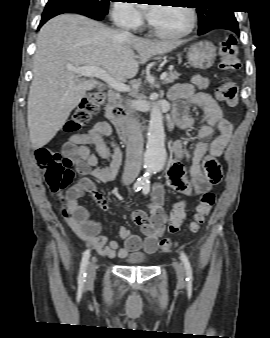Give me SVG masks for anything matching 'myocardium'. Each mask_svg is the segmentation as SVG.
Returning a JSON list of instances; mask_svg holds the SVG:
<instances>
[{"instance_id":"obj_1","label":"myocardium","mask_w":270,"mask_h":338,"mask_svg":"<svg viewBox=\"0 0 270 338\" xmlns=\"http://www.w3.org/2000/svg\"><path fill=\"white\" fill-rule=\"evenodd\" d=\"M185 6H186L185 8L189 11V14H190V24L185 30L180 31V32H175V33L162 32V31H159L158 29H156L155 26L153 25L152 21H150L149 27L151 29V32L155 36H157L159 38H163V39H180V38L186 37L189 34H191L192 31L196 27L197 13H196L195 9H193L189 5L186 4Z\"/></svg>"}]
</instances>
